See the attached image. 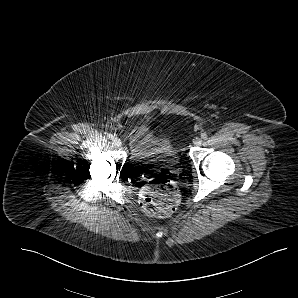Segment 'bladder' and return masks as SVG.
<instances>
[{
	"label": "bladder",
	"instance_id": "1",
	"mask_svg": "<svg viewBox=\"0 0 298 298\" xmlns=\"http://www.w3.org/2000/svg\"><path fill=\"white\" fill-rule=\"evenodd\" d=\"M128 144L133 160L164 165L178 163V152L171 140L156 134L146 122H136L132 126Z\"/></svg>",
	"mask_w": 298,
	"mask_h": 298
}]
</instances>
